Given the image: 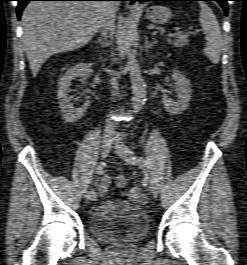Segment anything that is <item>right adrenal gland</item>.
<instances>
[{"mask_svg":"<svg viewBox=\"0 0 247 265\" xmlns=\"http://www.w3.org/2000/svg\"><path fill=\"white\" fill-rule=\"evenodd\" d=\"M97 43H99V44L101 45L102 48L107 47V39H106V38H104V39H101V38H100V39L97 41Z\"/></svg>","mask_w":247,"mask_h":265,"instance_id":"obj_1","label":"right adrenal gland"}]
</instances>
